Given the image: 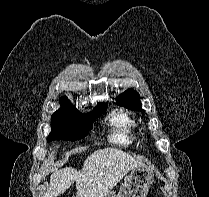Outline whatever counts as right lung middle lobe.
<instances>
[{"label":"right lung middle lobe","instance_id":"dd1d6c3e","mask_svg":"<svg viewBox=\"0 0 209 197\" xmlns=\"http://www.w3.org/2000/svg\"><path fill=\"white\" fill-rule=\"evenodd\" d=\"M61 108L51 117V133L47 141L68 140L76 141L83 138L92 129L91 121L98 118L107 108L106 103H101L96 108L82 115L67 99L60 100Z\"/></svg>","mask_w":209,"mask_h":197}]
</instances>
